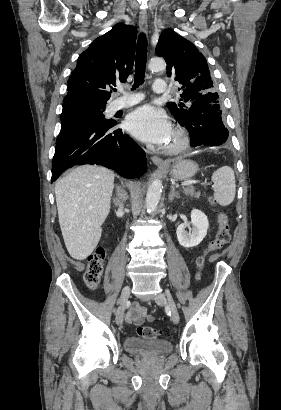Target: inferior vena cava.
<instances>
[{"instance_id": "1", "label": "inferior vena cava", "mask_w": 281, "mask_h": 410, "mask_svg": "<svg viewBox=\"0 0 281 410\" xmlns=\"http://www.w3.org/2000/svg\"><path fill=\"white\" fill-rule=\"evenodd\" d=\"M121 195V194H120ZM123 197V195H121V198ZM122 208H123V204L122 203H119V211H122Z\"/></svg>"}]
</instances>
